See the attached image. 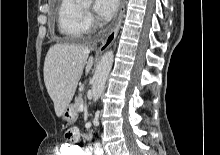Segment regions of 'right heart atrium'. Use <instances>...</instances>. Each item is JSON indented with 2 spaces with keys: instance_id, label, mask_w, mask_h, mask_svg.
Returning a JSON list of instances; mask_svg holds the SVG:
<instances>
[{
  "instance_id": "obj_1",
  "label": "right heart atrium",
  "mask_w": 220,
  "mask_h": 155,
  "mask_svg": "<svg viewBox=\"0 0 220 155\" xmlns=\"http://www.w3.org/2000/svg\"><path fill=\"white\" fill-rule=\"evenodd\" d=\"M86 19H87L88 27H91L95 24V19L90 14L86 16Z\"/></svg>"
}]
</instances>
